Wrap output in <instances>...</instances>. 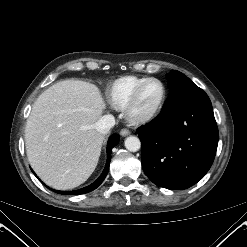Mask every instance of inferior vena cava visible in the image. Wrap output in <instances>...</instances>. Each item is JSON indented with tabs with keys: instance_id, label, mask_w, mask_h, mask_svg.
I'll return each mask as SVG.
<instances>
[{
	"instance_id": "1",
	"label": "inferior vena cava",
	"mask_w": 247,
	"mask_h": 247,
	"mask_svg": "<svg viewBox=\"0 0 247 247\" xmlns=\"http://www.w3.org/2000/svg\"><path fill=\"white\" fill-rule=\"evenodd\" d=\"M115 125V118L113 115L108 114L102 116L95 124V129L100 134H107Z\"/></svg>"
}]
</instances>
